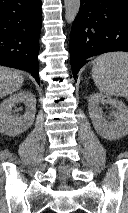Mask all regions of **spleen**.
Returning <instances> with one entry per match:
<instances>
[{"mask_svg": "<svg viewBox=\"0 0 128 213\" xmlns=\"http://www.w3.org/2000/svg\"><path fill=\"white\" fill-rule=\"evenodd\" d=\"M92 77L101 93L128 99V53L113 52L98 56L93 61Z\"/></svg>", "mask_w": 128, "mask_h": 213, "instance_id": "3e777b00", "label": "spleen"}]
</instances>
